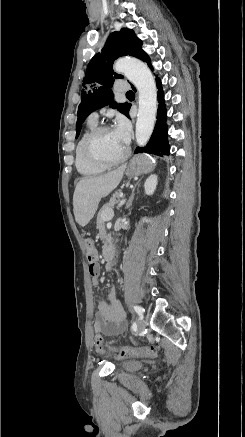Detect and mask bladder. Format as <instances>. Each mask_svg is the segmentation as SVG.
Masks as SVG:
<instances>
[{"instance_id": "bladder-1", "label": "bladder", "mask_w": 245, "mask_h": 437, "mask_svg": "<svg viewBox=\"0 0 245 437\" xmlns=\"http://www.w3.org/2000/svg\"><path fill=\"white\" fill-rule=\"evenodd\" d=\"M124 367L127 369H134L137 368L139 366V362L137 361H126L123 363Z\"/></svg>"}]
</instances>
